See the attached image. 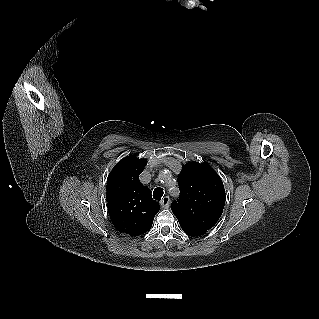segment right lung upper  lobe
Masks as SVG:
<instances>
[{"label":"right lung upper lobe","instance_id":"obj_1","mask_svg":"<svg viewBox=\"0 0 319 319\" xmlns=\"http://www.w3.org/2000/svg\"><path fill=\"white\" fill-rule=\"evenodd\" d=\"M147 165L145 159L128 156L112 169L107 179V207L111 221L120 233L131 237L150 230L159 204L139 180Z\"/></svg>","mask_w":319,"mask_h":319}]
</instances>
